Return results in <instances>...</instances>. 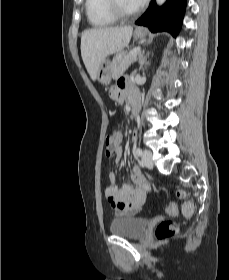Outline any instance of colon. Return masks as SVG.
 Wrapping results in <instances>:
<instances>
[{
  "mask_svg": "<svg viewBox=\"0 0 229 280\" xmlns=\"http://www.w3.org/2000/svg\"><path fill=\"white\" fill-rule=\"evenodd\" d=\"M121 141V133L118 130H115L108 134L105 138V155L109 158L113 155L116 148L118 147ZM177 195L180 197L184 196L183 191H178ZM130 200L123 201L121 204L126 206L130 204ZM170 211H174L175 208L171 206ZM182 211L186 216H192L195 214V205L192 202H185ZM177 231V227L170 221H160L157 225L155 235L158 239L162 240L171 235H173Z\"/></svg>",
  "mask_w": 229,
  "mask_h": 280,
  "instance_id": "5ec220e1",
  "label": "colon"
}]
</instances>
